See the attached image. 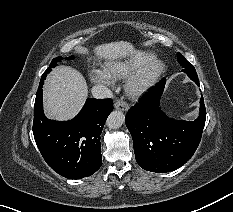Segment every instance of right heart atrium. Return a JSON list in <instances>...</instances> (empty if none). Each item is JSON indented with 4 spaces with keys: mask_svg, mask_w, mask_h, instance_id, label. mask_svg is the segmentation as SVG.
Instances as JSON below:
<instances>
[{
    "mask_svg": "<svg viewBox=\"0 0 233 212\" xmlns=\"http://www.w3.org/2000/svg\"><path fill=\"white\" fill-rule=\"evenodd\" d=\"M90 78L94 83L98 84H111L112 82V79L107 72L100 69H92Z\"/></svg>",
    "mask_w": 233,
    "mask_h": 212,
    "instance_id": "right-heart-atrium-1",
    "label": "right heart atrium"
}]
</instances>
